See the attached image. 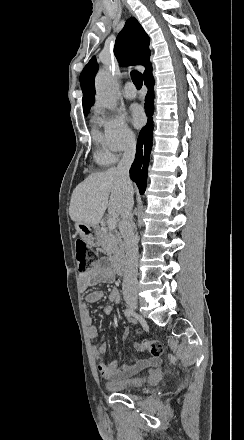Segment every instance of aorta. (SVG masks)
I'll list each match as a JSON object with an SVG mask.
<instances>
[{
  "mask_svg": "<svg viewBox=\"0 0 244 440\" xmlns=\"http://www.w3.org/2000/svg\"><path fill=\"white\" fill-rule=\"evenodd\" d=\"M96 100L108 109L117 106V81L107 71L100 70L95 78Z\"/></svg>",
  "mask_w": 244,
  "mask_h": 440,
  "instance_id": "1",
  "label": "aorta"
}]
</instances>
